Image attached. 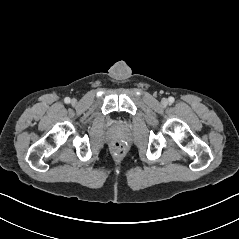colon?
I'll return each mask as SVG.
<instances>
[{"label": "colon", "instance_id": "1", "mask_svg": "<svg viewBox=\"0 0 239 239\" xmlns=\"http://www.w3.org/2000/svg\"><path fill=\"white\" fill-rule=\"evenodd\" d=\"M116 155L121 156L125 153V145L122 142H115L113 145Z\"/></svg>", "mask_w": 239, "mask_h": 239}]
</instances>
